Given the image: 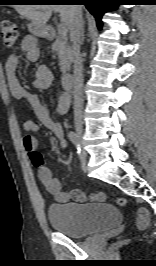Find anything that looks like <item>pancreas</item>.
Wrapping results in <instances>:
<instances>
[{"label": "pancreas", "mask_w": 156, "mask_h": 266, "mask_svg": "<svg viewBox=\"0 0 156 266\" xmlns=\"http://www.w3.org/2000/svg\"><path fill=\"white\" fill-rule=\"evenodd\" d=\"M52 51L59 59L60 71L65 74L70 70L73 61V52L65 36H59L52 44Z\"/></svg>", "instance_id": "1"}]
</instances>
